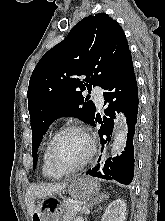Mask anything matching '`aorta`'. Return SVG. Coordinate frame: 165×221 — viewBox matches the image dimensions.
Returning <instances> with one entry per match:
<instances>
[{
  "label": "aorta",
  "instance_id": "aorta-1",
  "mask_svg": "<svg viewBox=\"0 0 165 221\" xmlns=\"http://www.w3.org/2000/svg\"><path fill=\"white\" fill-rule=\"evenodd\" d=\"M126 140H127V124L125 117L121 115L118 119V129L115 134L111 148L113 156L119 154L123 150L126 144Z\"/></svg>",
  "mask_w": 165,
  "mask_h": 221
}]
</instances>
